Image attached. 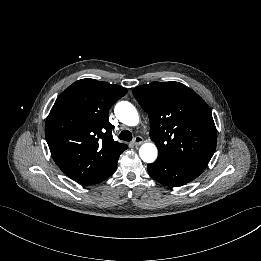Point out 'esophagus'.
<instances>
[{"label": "esophagus", "instance_id": "obj_1", "mask_svg": "<svg viewBox=\"0 0 261 261\" xmlns=\"http://www.w3.org/2000/svg\"><path fill=\"white\" fill-rule=\"evenodd\" d=\"M141 142V139L140 138H134L131 142L132 145L136 146L138 145L139 143Z\"/></svg>", "mask_w": 261, "mask_h": 261}]
</instances>
